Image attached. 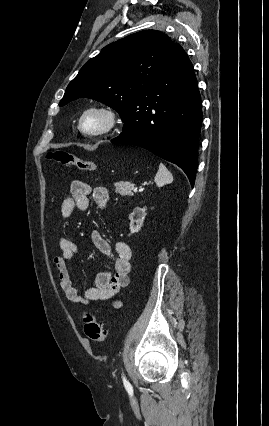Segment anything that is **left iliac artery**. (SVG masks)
<instances>
[{
	"instance_id": "left-iliac-artery-1",
	"label": "left iliac artery",
	"mask_w": 269,
	"mask_h": 426,
	"mask_svg": "<svg viewBox=\"0 0 269 426\" xmlns=\"http://www.w3.org/2000/svg\"><path fill=\"white\" fill-rule=\"evenodd\" d=\"M122 380H123V384H124L126 390L128 392H132L133 391L132 385L129 383V381L126 379V377L124 375H122Z\"/></svg>"
}]
</instances>
